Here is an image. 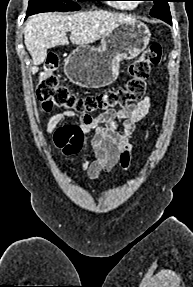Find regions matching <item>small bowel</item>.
I'll use <instances>...</instances> for the list:
<instances>
[{
  "label": "small bowel",
  "instance_id": "1",
  "mask_svg": "<svg viewBox=\"0 0 193 287\" xmlns=\"http://www.w3.org/2000/svg\"><path fill=\"white\" fill-rule=\"evenodd\" d=\"M150 106L151 99L147 96L137 104L110 110L98 120H90L91 126L82 122H66L75 118L72 111L66 110L48 121L45 132L49 134L55 130L52 141L62 156H69L70 153L71 156H85L90 149L84 162L65 166L70 170L85 171L90 178H97L103 172H110L116 165L125 170L129 168L132 150L129 136L138 129ZM116 119L121 122L117 123ZM87 136H90L89 140Z\"/></svg>",
  "mask_w": 193,
  "mask_h": 287
}]
</instances>
